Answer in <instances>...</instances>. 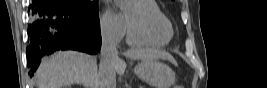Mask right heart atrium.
Returning <instances> with one entry per match:
<instances>
[{"label":"right heart atrium","mask_w":267,"mask_h":88,"mask_svg":"<svg viewBox=\"0 0 267 88\" xmlns=\"http://www.w3.org/2000/svg\"><path fill=\"white\" fill-rule=\"evenodd\" d=\"M100 27L103 36L115 42L120 41L126 31L123 17L112 11H107L102 15Z\"/></svg>","instance_id":"obj_1"}]
</instances>
